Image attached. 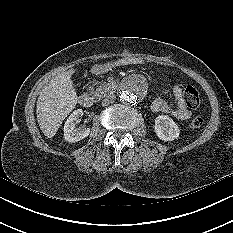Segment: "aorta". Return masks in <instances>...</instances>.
I'll return each mask as SVG.
<instances>
[{"instance_id": "aorta-1", "label": "aorta", "mask_w": 233, "mask_h": 233, "mask_svg": "<svg viewBox=\"0 0 233 233\" xmlns=\"http://www.w3.org/2000/svg\"><path fill=\"white\" fill-rule=\"evenodd\" d=\"M146 85L139 78L126 80L119 93L120 101L124 104H134L140 102L146 94Z\"/></svg>"}]
</instances>
